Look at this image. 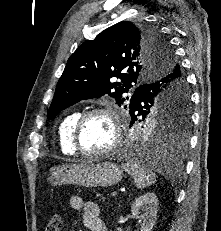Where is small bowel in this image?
<instances>
[{
  "mask_svg": "<svg viewBox=\"0 0 221 231\" xmlns=\"http://www.w3.org/2000/svg\"><path fill=\"white\" fill-rule=\"evenodd\" d=\"M69 204L73 210L83 209V223L88 231H107L106 223L100 217V209L96 203L84 201L80 196H72Z\"/></svg>",
  "mask_w": 221,
  "mask_h": 231,
  "instance_id": "obj_1",
  "label": "small bowel"
}]
</instances>
